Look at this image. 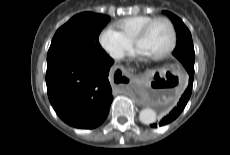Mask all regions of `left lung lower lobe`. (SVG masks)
<instances>
[{"label":"left lung lower lobe","instance_id":"0a47b994","mask_svg":"<svg viewBox=\"0 0 230 155\" xmlns=\"http://www.w3.org/2000/svg\"><path fill=\"white\" fill-rule=\"evenodd\" d=\"M181 62L189 74V83L187 85V88L185 89L184 93H182L179 99V102L172 109V111L167 116H165L158 124L157 123L151 124V127L153 128H156L157 126H163L165 124L172 122L174 119H176L180 115V113L183 111L184 107L186 106L191 96L192 86H193V77H194V62L189 61L188 59H182Z\"/></svg>","mask_w":230,"mask_h":155}]
</instances>
